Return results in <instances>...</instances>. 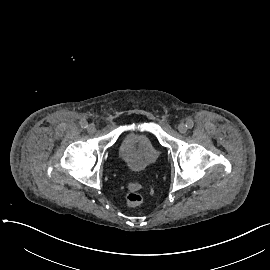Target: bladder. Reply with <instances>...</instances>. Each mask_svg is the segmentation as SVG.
I'll list each match as a JSON object with an SVG mask.
<instances>
[{
	"instance_id": "obj_1",
	"label": "bladder",
	"mask_w": 270,
	"mask_h": 270,
	"mask_svg": "<svg viewBox=\"0 0 270 270\" xmlns=\"http://www.w3.org/2000/svg\"><path fill=\"white\" fill-rule=\"evenodd\" d=\"M137 139H140V142ZM121 145L119 158L132 174L144 172L152 162L151 156L157 154V150H154L153 137L146 132L129 133Z\"/></svg>"
}]
</instances>
